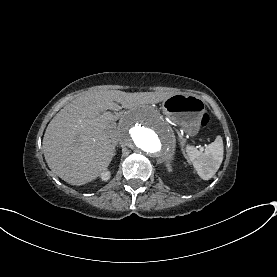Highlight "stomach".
<instances>
[{"instance_id":"stomach-1","label":"stomach","mask_w":277,"mask_h":277,"mask_svg":"<svg viewBox=\"0 0 277 277\" xmlns=\"http://www.w3.org/2000/svg\"><path fill=\"white\" fill-rule=\"evenodd\" d=\"M163 113L178 124L185 133L195 136L205 112L204 102L192 95L175 94L162 103Z\"/></svg>"}]
</instances>
